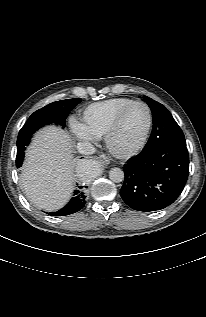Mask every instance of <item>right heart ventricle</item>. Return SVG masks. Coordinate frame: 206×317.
I'll return each mask as SVG.
<instances>
[{"label":"right heart ventricle","mask_w":206,"mask_h":317,"mask_svg":"<svg viewBox=\"0 0 206 317\" xmlns=\"http://www.w3.org/2000/svg\"><path fill=\"white\" fill-rule=\"evenodd\" d=\"M133 102L129 98H113L89 105L82 114V126L93 138L105 135L115 115Z\"/></svg>","instance_id":"1"}]
</instances>
